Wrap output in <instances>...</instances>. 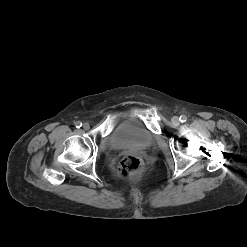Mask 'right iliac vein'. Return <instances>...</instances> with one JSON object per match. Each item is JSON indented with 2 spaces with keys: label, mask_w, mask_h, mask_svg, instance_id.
Returning a JSON list of instances; mask_svg holds the SVG:
<instances>
[{
  "label": "right iliac vein",
  "mask_w": 247,
  "mask_h": 247,
  "mask_svg": "<svg viewBox=\"0 0 247 247\" xmlns=\"http://www.w3.org/2000/svg\"><path fill=\"white\" fill-rule=\"evenodd\" d=\"M83 128H84L85 130H89V128H90L89 123H84V124H83Z\"/></svg>",
  "instance_id": "1"
}]
</instances>
